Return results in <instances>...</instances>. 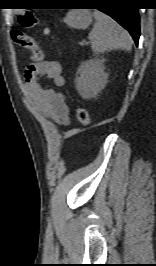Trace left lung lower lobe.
Returning a JSON list of instances; mask_svg holds the SVG:
<instances>
[{
  "instance_id": "1",
  "label": "left lung lower lobe",
  "mask_w": 156,
  "mask_h": 266,
  "mask_svg": "<svg viewBox=\"0 0 156 266\" xmlns=\"http://www.w3.org/2000/svg\"><path fill=\"white\" fill-rule=\"evenodd\" d=\"M116 2L117 1L115 0H92L89 5L104 6L98 9L111 16L121 26L128 30L131 36L133 37L136 45H138V39L140 36L138 8L131 7L129 4L126 3L116 5Z\"/></svg>"
}]
</instances>
